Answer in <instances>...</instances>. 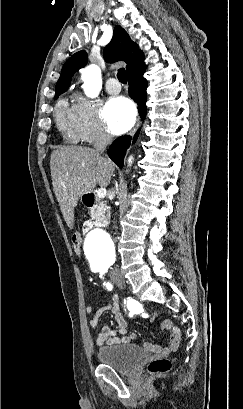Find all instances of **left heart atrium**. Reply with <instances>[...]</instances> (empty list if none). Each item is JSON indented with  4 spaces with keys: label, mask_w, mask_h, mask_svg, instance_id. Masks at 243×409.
Wrapping results in <instances>:
<instances>
[{
    "label": "left heart atrium",
    "mask_w": 243,
    "mask_h": 409,
    "mask_svg": "<svg viewBox=\"0 0 243 409\" xmlns=\"http://www.w3.org/2000/svg\"><path fill=\"white\" fill-rule=\"evenodd\" d=\"M102 118L107 130L112 134L119 135L133 126L136 119V109L129 99L115 97L105 104Z\"/></svg>",
    "instance_id": "obj_1"
}]
</instances>
